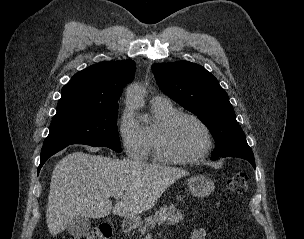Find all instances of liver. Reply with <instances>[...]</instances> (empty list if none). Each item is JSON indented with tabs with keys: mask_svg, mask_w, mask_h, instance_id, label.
<instances>
[{
	"mask_svg": "<svg viewBox=\"0 0 304 239\" xmlns=\"http://www.w3.org/2000/svg\"><path fill=\"white\" fill-rule=\"evenodd\" d=\"M188 172L130 159H111L81 151L66 155L54 167L46 222L51 235L77 217L103 218L110 212L125 218L151 209L163 192ZM122 193L112 208L109 198Z\"/></svg>",
	"mask_w": 304,
	"mask_h": 239,
	"instance_id": "obj_1",
	"label": "liver"
}]
</instances>
